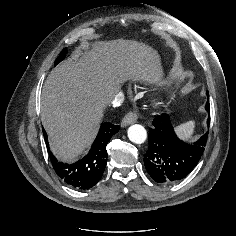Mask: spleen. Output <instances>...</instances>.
<instances>
[{"instance_id":"obj_1","label":"spleen","mask_w":236,"mask_h":236,"mask_svg":"<svg viewBox=\"0 0 236 236\" xmlns=\"http://www.w3.org/2000/svg\"><path fill=\"white\" fill-rule=\"evenodd\" d=\"M195 127L194 121H189L187 123L181 124L175 128V131L180 136V138L187 140L191 138Z\"/></svg>"}]
</instances>
